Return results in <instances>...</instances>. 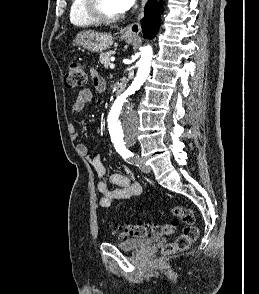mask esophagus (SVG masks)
I'll return each instance as SVG.
<instances>
[{
    "label": "esophagus",
    "mask_w": 259,
    "mask_h": 294,
    "mask_svg": "<svg viewBox=\"0 0 259 294\" xmlns=\"http://www.w3.org/2000/svg\"><path fill=\"white\" fill-rule=\"evenodd\" d=\"M146 2L147 0H142L137 19L124 28L123 31L126 35L131 37H136L139 35L141 31L140 20L143 17V10Z\"/></svg>",
    "instance_id": "34e87169"
}]
</instances>
